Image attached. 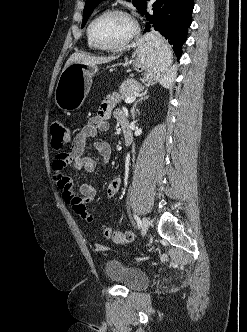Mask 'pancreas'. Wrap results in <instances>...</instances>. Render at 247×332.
I'll use <instances>...</instances> for the list:
<instances>
[{
    "instance_id": "pancreas-1",
    "label": "pancreas",
    "mask_w": 247,
    "mask_h": 332,
    "mask_svg": "<svg viewBox=\"0 0 247 332\" xmlns=\"http://www.w3.org/2000/svg\"><path fill=\"white\" fill-rule=\"evenodd\" d=\"M144 87L134 79L124 81L119 87L120 99L131 97L142 92Z\"/></svg>"
}]
</instances>
